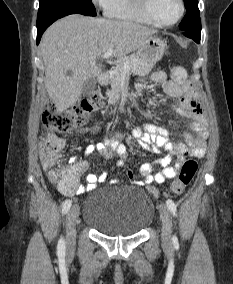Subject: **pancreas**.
Instances as JSON below:
<instances>
[{
  "mask_svg": "<svg viewBox=\"0 0 233 284\" xmlns=\"http://www.w3.org/2000/svg\"><path fill=\"white\" fill-rule=\"evenodd\" d=\"M125 63L128 64L126 68L124 67ZM152 68L153 64L144 62L136 54L121 58L115 66L110 80L112 89L106 92L109 103L114 104L119 99L121 85L126 76L130 73L144 76L149 74Z\"/></svg>",
  "mask_w": 233,
  "mask_h": 284,
  "instance_id": "obj_1",
  "label": "pancreas"
}]
</instances>
